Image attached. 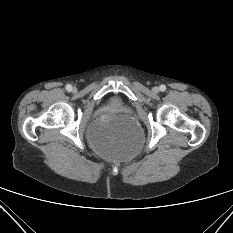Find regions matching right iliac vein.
I'll use <instances>...</instances> for the list:
<instances>
[{"instance_id": "1", "label": "right iliac vein", "mask_w": 233, "mask_h": 233, "mask_svg": "<svg viewBox=\"0 0 233 233\" xmlns=\"http://www.w3.org/2000/svg\"><path fill=\"white\" fill-rule=\"evenodd\" d=\"M71 90H72L73 92H75V91H76V88H75V87H73Z\"/></svg>"}]
</instances>
